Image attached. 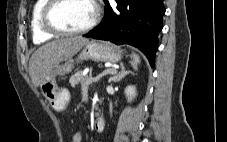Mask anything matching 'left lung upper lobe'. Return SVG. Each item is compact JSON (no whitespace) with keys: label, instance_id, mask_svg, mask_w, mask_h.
Here are the masks:
<instances>
[{"label":"left lung upper lobe","instance_id":"1","mask_svg":"<svg viewBox=\"0 0 227 142\" xmlns=\"http://www.w3.org/2000/svg\"><path fill=\"white\" fill-rule=\"evenodd\" d=\"M104 3H105V5H107L109 2H108V0H104Z\"/></svg>","mask_w":227,"mask_h":142}]
</instances>
